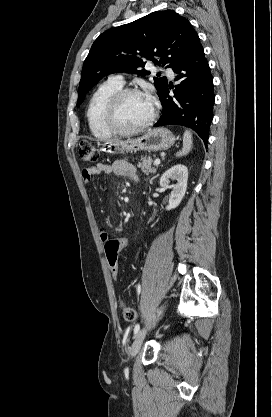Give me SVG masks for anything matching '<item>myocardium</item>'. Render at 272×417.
I'll use <instances>...</instances> for the list:
<instances>
[{
  "label": "myocardium",
  "mask_w": 272,
  "mask_h": 417,
  "mask_svg": "<svg viewBox=\"0 0 272 417\" xmlns=\"http://www.w3.org/2000/svg\"><path fill=\"white\" fill-rule=\"evenodd\" d=\"M131 95L145 96L150 100L149 96L138 88H122L121 90L116 92L108 101L106 108H105V113H104L105 125L109 129V131H111L113 134L133 135V134L142 132L145 129H147L149 126H151L157 117V110L154 104L152 103V114L146 122L134 128L121 127L117 123L118 110L122 102L124 101V99Z\"/></svg>",
  "instance_id": "myocardium-1"
}]
</instances>
